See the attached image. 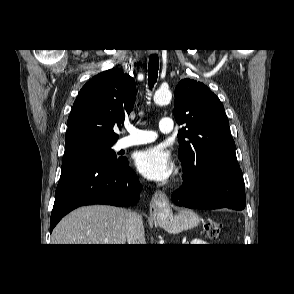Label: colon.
<instances>
[{"label":"colon","instance_id":"colon-1","mask_svg":"<svg viewBox=\"0 0 294 294\" xmlns=\"http://www.w3.org/2000/svg\"><path fill=\"white\" fill-rule=\"evenodd\" d=\"M222 227L223 225L220 222L208 221L206 222L204 229L210 240H216L221 233Z\"/></svg>","mask_w":294,"mask_h":294}]
</instances>
